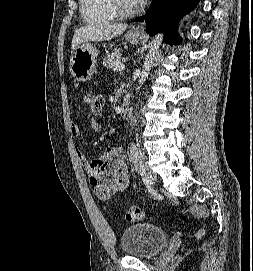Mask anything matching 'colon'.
<instances>
[{"instance_id": "5ec220e1", "label": "colon", "mask_w": 253, "mask_h": 271, "mask_svg": "<svg viewBox=\"0 0 253 271\" xmlns=\"http://www.w3.org/2000/svg\"><path fill=\"white\" fill-rule=\"evenodd\" d=\"M84 99L92 113L98 114L103 107L102 97L93 91H87L84 95ZM144 216L143 209L140 206L131 205L127 207L125 211V219L130 222L140 221ZM204 234L203 230L196 233L197 237H201Z\"/></svg>"}]
</instances>
